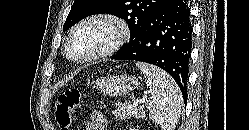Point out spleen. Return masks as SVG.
I'll use <instances>...</instances> for the list:
<instances>
[{"label":"spleen","mask_w":249,"mask_h":130,"mask_svg":"<svg viewBox=\"0 0 249 130\" xmlns=\"http://www.w3.org/2000/svg\"><path fill=\"white\" fill-rule=\"evenodd\" d=\"M136 66L144 74L149 88L146 100L149 117L163 130H173L180 118L182 95L175 80L164 70L143 62Z\"/></svg>","instance_id":"1"}]
</instances>
